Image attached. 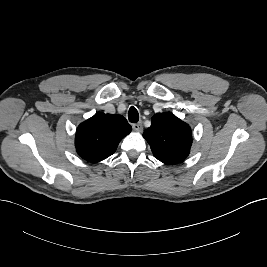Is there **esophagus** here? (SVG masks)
Listing matches in <instances>:
<instances>
[{
	"label": "esophagus",
	"instance_id": "1",
	"mask_svg": "<svg viewBox=\"0 0 267 267\" xmlns=\"http://www.w3.org/2000/svg\"><path fill=\"white\" fill-rule=\"evenodd\" d=\"M132 128L137 132H141L143 130V126L141 122L133 124Z\"/></svg>",
	"mask_w": 267,
	"mask_h": 267
}]
</instances>
